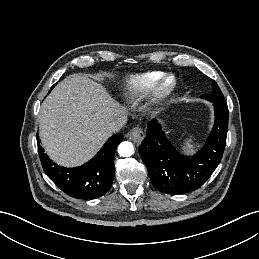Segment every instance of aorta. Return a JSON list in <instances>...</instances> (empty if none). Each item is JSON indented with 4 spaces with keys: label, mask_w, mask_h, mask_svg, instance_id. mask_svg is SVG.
I'll use <instances>...</instances> for the list:
<instances>
[{
    "label": "aorta",
    "mask_w": 259,
    "mask_h": 259,
    "mask_svg": "<svg viewBox=\"0 0 259 259\" xmlns=\"http://www.w3.org/2000/svg\"><path fill=\"white\" fill-rule=\"evenodd\" d=\"M134 152V146L131 142L124 141L119 144L118 146V153L122 157H129L133 154Z\"/></svg>",
    "instance_id": "aorta-1"
}]
</instances>
